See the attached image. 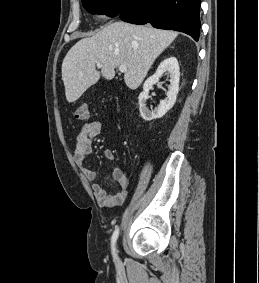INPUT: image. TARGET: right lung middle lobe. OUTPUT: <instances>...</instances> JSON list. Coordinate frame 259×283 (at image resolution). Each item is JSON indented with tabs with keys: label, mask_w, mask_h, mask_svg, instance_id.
Listing matches in <instances>:
<instances>
[{
	"label": "right lung middle lobe",
	"mask_w": 259,
	"mask_h": 283,
	"mask_svg": "<svg viewBox=\"0 0 259 283\" xmlns=\"http://www.w3.org/2000/svg\"><path fill=\"white\" fill-rule=\"evenodd\" d=\"M119 0H82L84 8L90 12L114 17Z\"/></svg>",
	"instance_id": "dd1d6c3e"
}]
</instances>
